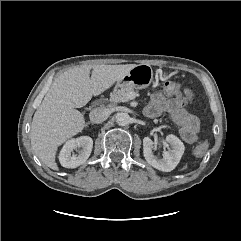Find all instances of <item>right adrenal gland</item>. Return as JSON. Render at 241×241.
Masks as SVG:
<instances>
[{"mask_svg": "<svg viewBox=\"0 0 241 241\" xmlns=\"http://www.w3.org/2000/svg\"><path fill=\"white\" fill-rule=\"evenodd\" d=\"M90 124H91V125H93V123H91V122H88L86 126L88 127V126H89Z\"/></svg>", "mask_w": 241, "mask_h": 241, "instance_id": "right-adrenal-gland-1", "label": "right adrenal gland"}]
</instances>
